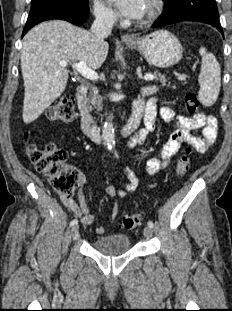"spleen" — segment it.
<instances>
[{"label":"spleen","instance_id":"obj_1","mask_svg":"<svg viewBox=\"0 0 232 311\" xmlns=\"http://www.w3.org/2000/svg\"><path fill=\"white\" fill-rule=\"evenodd\" d=\"M202 57L201 72L199 75V100L203 106L213 105L219 95L221 87V69L216 57L208 53L203 47L199 49Z\"/></svg>","mask_w":232,"mask_h":311}]
</instances>
